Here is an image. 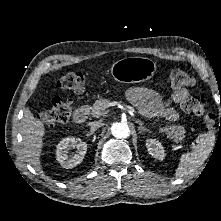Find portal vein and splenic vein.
<instances>
[{"instance_id":"18ae733b","label":"portal vein and splenic vein","mask_w":221,"mask_h":221,"mask_svg":"<svg viewBox=\"0 0 221 221\" xmlns=\"http://www.w3.org/2000/svg\"><path fill=\"white\" fill-rule=\"evenodd\" d=\"M108 106H115V102L109 103ZM128 109H130V112H134V109L132 107H128Z\"/></svg>"}]
</instances>
